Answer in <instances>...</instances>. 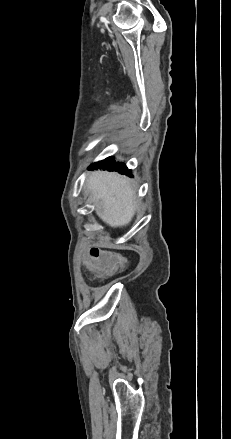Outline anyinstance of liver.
Returning a JSON list of instances; mask_svg holds the SVG:
<instances>
[{
  "label": "liver",
  "instance_id": "6515ba94",
  "mask_svg": "<svg viewBox=\"0 0 231 439\" xmlns=\"http://www.w3.org/2000/svg\"><path fill=\"white\" fill-rule=\"evenodd\" d=\"M86 188L99 203V215L105 223L111 227L130 223L137 203L129 180L117 173L95 171L89 175Z\"/></svg>",
  "mask_w": 231,
  "mask_h": 439
}]
</instances>
